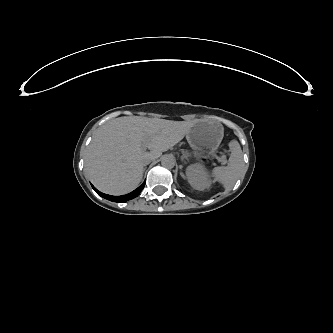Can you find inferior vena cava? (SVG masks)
<instances>
[{"instance_id":"inferior-vena-cava-1","label":"inferior vena cava","mask_w":333,"mask_h":333,"mask_svg":"<svg viewBox=\"0 0 333 333\" xmlns=\"http://www.w3.org/2000/svg\"><path fill=\"white\" fill-rule=\"evenodd\" d=\"M152 160H154L153 158H145L144 160H143V165L145 166V165H148L149 163H151L152 162Z\"/></svg>"}]
</instances>
